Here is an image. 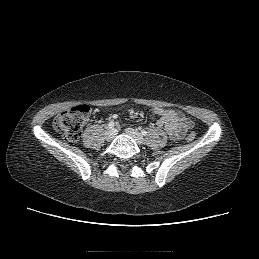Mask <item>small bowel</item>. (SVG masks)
Here are the masks:
<instances>
[{"label": "small bowel", "instance_id": "1", "mask_svg": "<svg viewBox=\"0 0 259 259\" xmlns=\"http://www.w3.org/2000/svg\"><path fill=\"white\" fill-rule=\"evenodd\" d=\"M157 116V125L163 128L172 140H180L193 127V121L176 109H152Z\"/></svg>", "mask_w": 259, "mask_h": 259}]
</instances>
